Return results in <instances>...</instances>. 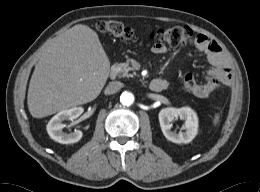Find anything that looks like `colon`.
<instances>
[{
    "label": "colon",
    "instance_id": "5ec220e1",
    "mask_svg": "<svg viewBox=\"0 0 260 192\" xmlns=\"http://www.w3.org/2000/svg\"><path fill=\"white\" fill-rule=\"evenodd\" d=\"M96 27L100 32L113 35L123 42L131 40L134 36L133 30L130 27L115 20H101L97 23ZM149 38L154 43L183 46L193 40V32L190 28L184 26L162 28L153 31ZM197 84L191 74L185 76L183 86L186 91L194 93L198 89Z\"/></svg>",
    "mask_w": 260,
    "mask_h": 192
}]
</instances>
